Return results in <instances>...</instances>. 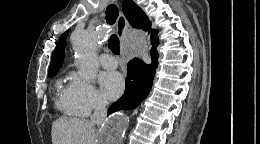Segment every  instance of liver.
<instances>
[{
	"label": "liver",
	"instance_id": "liver-1",
	"mask_svg": "<svg viewBox=\"0 0 260 144\" xmlns=\"http://www.w3.org/2000/svg\"><path fill=\"white\" fill-rule=\"evenodd\" d=\"M52 144H93L95 128L86 119L62 117L52 124Z\"/></svg>",
	"mask_w": 260,
	"mask_h": 144
}]
</instances>
